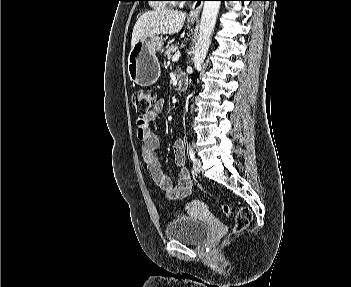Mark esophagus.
Wrapping results in <instances>:
<instances>
[{
    "label": "esophagus",
    "instance_id": "esophagus-1",
    "mask_svg": "<svg viewBox=\"0 0 351 287\" xmlns=\"http://www.w3.org/2000/svg\"><path fill=\"white\" fill-rule=\"evenodd\" d=\"M203 1L202 0H194L193 5L191 7L189 13V19H197L199 17L201 8H202Z\"/></svg>",
    "mask_w": 351,
    "mask_h": 287
}]
</instances>
